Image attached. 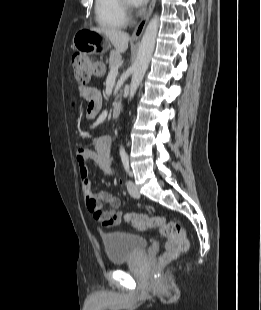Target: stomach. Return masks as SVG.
I'll list each match as a JSON object with an SVG mask.
<instances>
[{
	"mask_svg": "<svg viewBox=\"0 0 261 310\" xmlns=\"http://www.w3.org/2000/svg\"><path fill=\"white\" fill-rule=\"evenodd\" d=\"M73 46L80 51H92L93 53L103 54L110 48V41L102 33L83 29L75 33Z\"/></svg>",
	"mask_w": 261,
	"mask_h": 310,
	"instance_id": "1",
	"label": "stomach"
}]
</instances>
